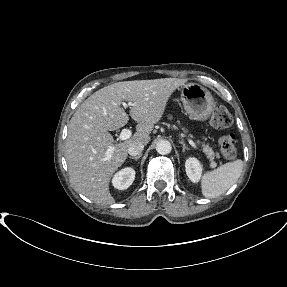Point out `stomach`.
<instances>
[{"label":"stomach","mask_w":287,"mask_h":287,"mask_svg":"<svg viewBox=\"0 0 287 287\" xmlns=\"http://www.w3.org/2000/svg\"><path fill=\"white\" fill-rule=\"evenodd\" d=\"M181 101L189 116L198 121L207 120L215 108L211 93L197 83H188L180 88Z\"/></svg>","instance_id":"stomach-1"}]
</instances>
